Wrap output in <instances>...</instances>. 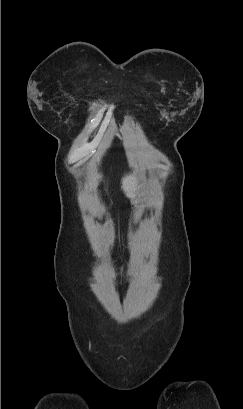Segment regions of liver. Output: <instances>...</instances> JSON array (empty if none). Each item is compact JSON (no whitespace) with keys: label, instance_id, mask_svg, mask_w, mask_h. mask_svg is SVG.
Wrapping results in <instances>:
<instances>
[{"label":"liver","instance_id":"liver-1","mask_svg":"<svg viewBox=\"0 0 243 409\" xmlns=\"http://www.w3.org/2000/svg\"><path fill=\"white\" fill-rule=\"evenodd\" d=\"M135 184L134 176H126L122 179V189L127 196L130 195Z\"/></svg>","mask_w":243,"mask_h":409}]
</instances>
